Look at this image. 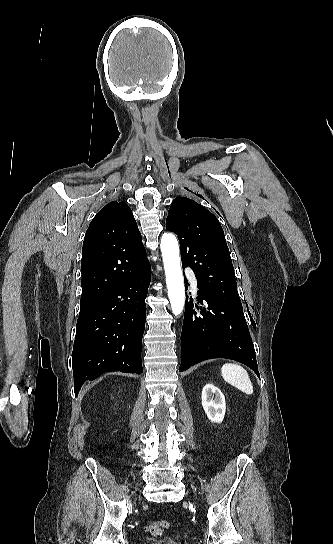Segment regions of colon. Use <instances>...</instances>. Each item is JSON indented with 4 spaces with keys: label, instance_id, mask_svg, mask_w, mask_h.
<instances>
[{
    "label": "colon",
    "instance_id": "colon-1",
    "mask_svg": "<svg viewBox=\"0 0 333 544\" xmlns=\"http://www.w3.org/2000/svg\"><path fill=\"white\" fill-rule=\"evenodd\" d=\"M170 528V522L166 520L152 521L146 526V531L151 535H160L163 531Z\"/></svg>",
    "mask_w": 333,
    "mask_h": 544
}]
</instances>
